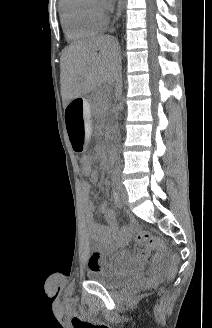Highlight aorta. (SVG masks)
I'll return each instance as SVG.
<instances>
[{
  "instance_id": "obj_1",
  "label": "aorta",
  "mask_w": 212,
  "mask_h": 328,
  "mask_svg": "<svg viewBox=\"0 0 212 328\" xmlns=\"http://www.w3.org/2000/svg\"><path fill=\"white\" fill-rule=\"evenodd\" d=\"M118 87L121 91L122 87H123L122 78H120ZM118 107L121 111L124 109V96L122 95V91H121V97H120V102H119ZM113 172L114 173L112 174V179L113 180H120L121 179V172H122L121 167H114Z\"/></svg>"
}]
</instances>
